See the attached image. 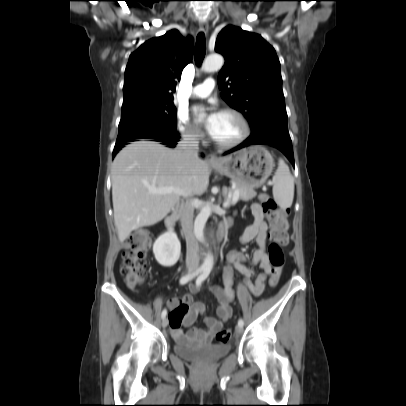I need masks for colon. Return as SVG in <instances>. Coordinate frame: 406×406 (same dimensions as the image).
Wrapping results in <instances>:
<instances>
[{"instance_id": "obj_1", "label": "colon", "mask_w": 406, "mask_h": 406, "mask_svg": "<svg viewBox=\"0 0 406 406\" xmlns=\"http://www.w3.org/2000/svg\"><path fill=\"white\" fill-rule=\"evenodd\" d=\"M259 199L272 227L268 248V258L272 266L269 285L275 287L280 280L284 265L283 246L288 242V213L285 209L278 208L270 195L261 194ZM150 244V238L144 230L134 231L128 236L120 265V273L127 287L134 288L147 279L148 269L145 263V254ZM185 314L186 311L183 309L173 311L170 315L172 326L177 327L180 318ZM230 336L231 330L223 329L217 332L216 340L219 343H225L230 339Z\"/></svg>"}]
</instances>
